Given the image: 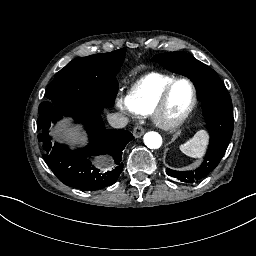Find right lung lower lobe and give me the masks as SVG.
<instances>
[{"instance_id": "right-lung-lower-lobe-1", "label": "right lung lower lobe", "mask_w": 256, "mask_h": 256, "mask_svg": "<svg viewBox=\"0 0 256 256\" xmlns=\"http://www.w3.org/2000/svg\"><path fill=\"white\" fill-rule=\"evenodd\" d=\"M100 109L96 106H74L37 121L43 158L56 177L67 186L84 191L101 189L115 183L122 172V151L134 137L126 130H106ZM63 115L73 116L77 122L85 124L90 137V144L86 148L72 151L66 146L51 143L48 129L51 122L58 121ZM100 154L112 155L118 166L112 171L99 173L86 156Z\"/></svg>"}]
</instances>
